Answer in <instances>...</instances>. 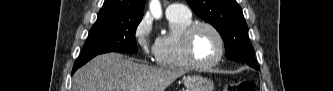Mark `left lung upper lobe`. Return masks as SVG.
<instances>
[{
	"label": "left lung upper lobe",
	"mask_w": 333,
	"mask_h": 91,
	"mask_svg": "<svg viewBox=\"0 0 333 91\" xmlns=\"http://www.w3.org/2000/svg\"><path fill=\"white\" fill-rule=\"evenodd\" d=\"M194 13L221 34L226 57L253 63L254 49L248 39V27L236 0H187Z\"/></svg>",
	"instance_id": "5c2ea615"
}]
</instances>
